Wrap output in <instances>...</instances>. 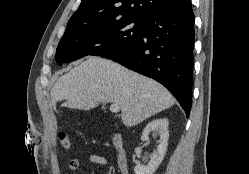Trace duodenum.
Instances as JSON below:
<instances>
[{
	"label": "duodenum",
	"mask_w": 249,
	"mask_h": 174,
	"mask_svg": "<svg viewBox=\"0 0 249 174\" xmlns=\"http://www.w3.org/2000/svg\"><path fill=\"white\" fill-rule=\"evenodd\" d=\"M113 145L117 153V164L122 174H128V159L123 148L122 137L115 134L113 137Z\"/></svg>",
	"instance_id": "obj_1"
}]
</instances>
